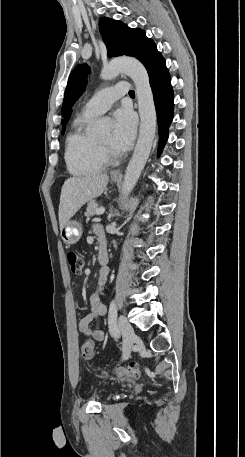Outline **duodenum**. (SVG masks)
I'll use <instances>...</instances> for the list:
<instances>
[{
	"instance_id": "1",
	"label": "duodenum",
	"mask_w": 245,
	"mask_h": 457,
	"mask_svg": "<svg viewBox=\"0 0 245 457\" xmlns=\"http://www.w3.org/2000/svg\"><path fill=\"white\" fill-rule=\"evenodd\" d=\"M98 262L101 266H105L108 263V252L106 247H100L98 251Z\"/></svg>"
}]
</instances>
